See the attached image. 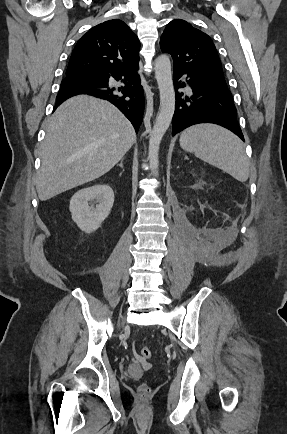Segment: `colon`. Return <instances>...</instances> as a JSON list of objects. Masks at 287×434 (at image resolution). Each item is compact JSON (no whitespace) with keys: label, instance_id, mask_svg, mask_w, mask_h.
<instances>
[{"label":"colon","instance_id":"1","mask_svg":"<svg viewBox=\"0 0 287 434\" xmlns=\"http://www.w3.org/2000/svg\"><path fill=\"white\" fill-rule=\"evenodd\" d=\"M138 358L139 360L142 361H146L149 360L151 358V350L149 347H141L139 352H138ZM150 393V388L148 385L146 384H142L139 388H138V395L140 398H146Z\"/></svg>","mask_w":287,"mask_h":434}]
</instances>
